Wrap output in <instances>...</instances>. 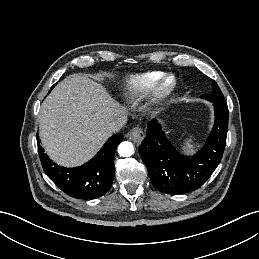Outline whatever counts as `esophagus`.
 <instances>
[{"instance_id":"1","label":"esophagus","mask_w":259,"mask_h":259,"mask_svg":"<svg viewBox=\"0 0 259 259\" xmlns=\"http://www.w3.org/2000/svg\"><path fill=\"white\" fill-rule=\"evenodd\" d=\"M127 136L130 140L139 144L144 139L145 133L141 127H134L128 132Z\"/></svg>"}]
</instances>
